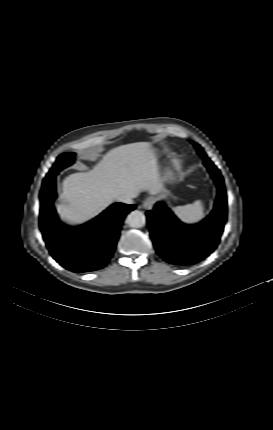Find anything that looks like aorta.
<instances>
[{"instance_id": "aorta-1", "label": "aorta", "mask_w": 273, "mask_h": 430, "mask_svg": "<svg viewBox=\"0 0 273 430\" xmlns=\"http://www.w3.org/2000/svg\"><path fill=\"white\" fill-rule=\"evenodd\" d=\"M126 223L133 228H140L146 224V217L143 212L134 210L126 219Z\"/></svg>"}]
</instances>
